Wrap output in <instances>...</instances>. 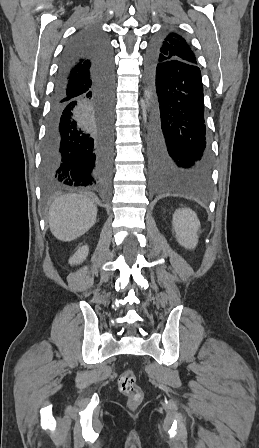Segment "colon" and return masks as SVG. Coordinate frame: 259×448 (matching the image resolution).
<instances>
[{"mask_svg":"<svg viewBox=\"0 0 259 448\" xmlns=\"http://www.w3.org/2000/svg\"><path fill=\"white\" fill-rule=\"evenodd\" d=\"M119 390L128 397V406L137 408L143 400V391L137 384L136 376L130 369L124 371L118 379Z\"/></svg>","mask_w":259,"mask_h":448,"instance_id":"colon-1","label":"colon"}]
</instances>
